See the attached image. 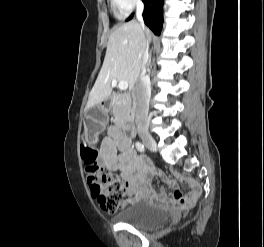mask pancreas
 Wrapping results in <instances>:
<instances>
[{
    "label": "pancreas",
    "instance_id": "cf45deb5",
    "mask_svg": "<svg viewBox=\"0 0 264 247\" xmlns=\"http://www.w3.org/2000/svg\"><path fill=\"white\" fill-rule=\"evenodd\" d=\"M132 100L128 94L118 95L112 103V114L117 125H122L131 118Z\"/></svg>",
    "mask_w": 264,
    "mask_h": 247
}]
</instances>
